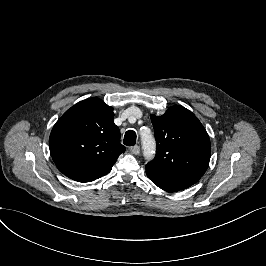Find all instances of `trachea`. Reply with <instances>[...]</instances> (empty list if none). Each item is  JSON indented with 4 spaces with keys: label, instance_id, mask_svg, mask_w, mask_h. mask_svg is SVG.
<instances>
[{
    "label": "trachea",
    "instance_id": "trachea-1",
    "mask_svg": "<svg viewBox=\"0 0 266 266\" xmlns=\"http://www.w3.org/2000/svg\"><path fill=\"white\" fill-rule=\"evenodd\" d=\"M123 143L126 146H134L136 143V133L133 130L127 131Z\"/></svg>",
    "mask_w": 266,
    "mask_h": 266
}]
</instances>
